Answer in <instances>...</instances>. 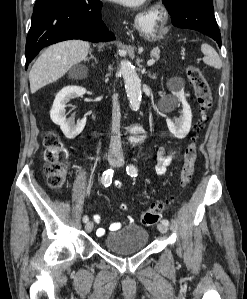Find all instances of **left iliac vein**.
Here are the masks:
<instances>
[{
	"label": "left iliac vein",
	"instance_id": "obj_1",
	"mask_svg": "<svg viewBox=\"0 0 247 299\" xmlns=\"http://www.w3.org/2000/svg\"><path fill=\"white\" fill-rule=\"evenodd\" d=\"M118 165L119 166H122L123 165V159L120 157L119 158V161H118ZM158 230L161 232V233H167V231H168V227H167V225H165L164 223H159L158 224Z\"/></svg>",
	"mask_w": 247,
	"mask_h": 299
}]
</instances>
